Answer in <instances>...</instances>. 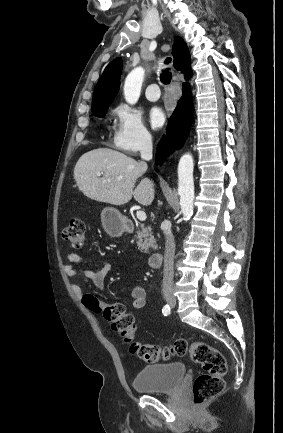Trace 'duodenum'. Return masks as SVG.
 Segmentation results:
<instances>
[{"instance_id": "obj_1", "label": "duodenum", "mask_w": 283, "mask_h": 433, "mask_svg": "<svg viewBox=\"0 0 283 433\" xmlns=\"http://www.w3.org/2000/svg\"><path fill=\"white\" fill-rule=\"evenodd\" d=\"M126 229L128 231H132L133 230V226L129 223L126 224ZM163 261V254L161 252H155L153 253L150 258H149V265L152 268H159L162 264Z\"/></svg>"}]
</instances>
